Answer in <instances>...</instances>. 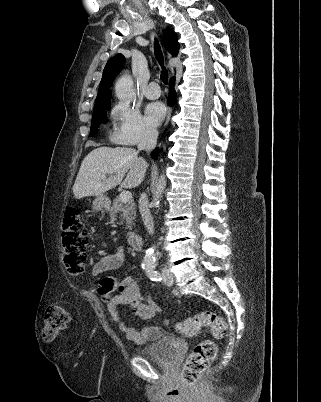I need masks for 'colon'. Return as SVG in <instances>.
Masks as SVG:
<instances>
[{
    "label": "colon",
    "mask_w": 321,
    "mask_h": 402,
    "mask_svg": "<svg viewBox=\"0 0 321 402\" xmlns=\"http://www.w3.org/2000/svg\"><path fill=\"white\" fill-rule=\"evenodd\" d=\"M62 248L64 265L71 275H78L86 261L88 232L80 218L78 209L69 207L65 210L62 224ZM70 316L64 306L54 304L47 308L43 338L55 340L66 328ZM202 328H209L216 338L226 333V325L221 316L212 311H202L194 317L176 324V329L185 335H194ZM218 348L213 340L206 339L196 344L186 358L181 371L183 384L193 386L207 367L216 360Z\"/></svg>",
    "instance_id": "1"
}]
</instances>
